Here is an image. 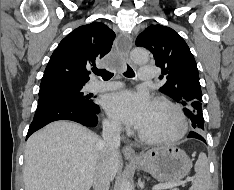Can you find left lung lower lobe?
<instances>
[{
	"label": "left lung lower lobe",
	"mask_w": 234,
	"mask_h": 190,
	"mask_svg": "<svg viewBox=\"0 0 234 190\" xmlns=\"http://www.w3.org/2000/svg\"><path fill=\"white\" fill-rule=\"evenodd\" d=\"M188 138H195V139H199L201 141H203L204 143H206L205 139L200 135L199 132L197 131H191L188 135Z\"/></svg>",
	"instance_id": "0a47b994"
}]
</instances>
